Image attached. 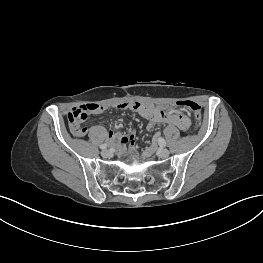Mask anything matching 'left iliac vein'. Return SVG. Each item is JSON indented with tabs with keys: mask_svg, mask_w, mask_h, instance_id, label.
<instances>
[{
	"mask_svg": "<svg viewBox=\"0 0 263 263\" xmlns=\"http://www.w3.org/2000/svg\"><path fill=\"white\" fill-rule=\"evenodd\" d=\"M158 155L160 158L165 159L169 156V151L167 149H161L159 150Z\"/></svg>",
	"mask_w": 263,
	"mask_h": 263,
	"instance_id": "4c4485c4",
	"label": "left iliac vein"
}]
</instances>
